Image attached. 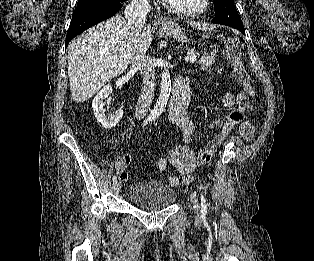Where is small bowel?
Returning <instances> with one entry per match:
<instances>
[{"label": "small bowel", "mask_w": 314, "mask_h": 261, "mask_svg": "<svg viewBox=\"0 0 314 261\" xmlns=\"http://www.w3.org/2000/svg\"><path fill=\"white\" fill-rule=\"evenodd\" d=\"M230 87V83H226ZM226 109H230L234 105V95L228 90H219L214 94ZM171 121L177 125L183 136V141L186 144L196 142L198 140V132L195 121L185 112H180L171 117ZM223 124L220 119L213 120L209 123L208 129H214ZM240 133L246 141H250L253 137V127L250 122L244 121L240 124ZM196 157L195 151L186 145L174 147L170 153L169 158H159L156 161V167L163 175V180L172 186H178L180 182L188 183L190 181V171L195 168L194 160ZM131 157L129 154L118 158L115 161V171L121 182L129 179L126 169L129 167ZM171 164L179 174V177L168 173V165Z\"/></svg>", "instance_id": "c3829d8e"}]
</instances>
